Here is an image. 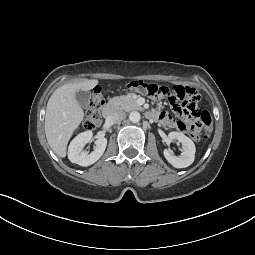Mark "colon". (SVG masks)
<instances>
[{
	"label": "colon",
	"instance_id": "obj_1",
	"mask_svg": "<svg viewBox=\"0 0 255 255\" xmlns=\"http://www.w3.org/2000/svg\"><path fill=\"white\" fill-rule=\"evenodd\" d=\"M128 89L148 95L153 99L169 97L176 106V112L180 115L198 119L204 126V133L191 132L190 135L195 141L208 139L212 133L211 117L207 111L198 107L199 94L197 90L191 87L174 86L168 87L147 83L142 79H135L128 83ZM104 98L100 87H96L89 107L87 108L83 120V126L86 129H95L102 121V109Z\"/></svg>",
	"mask_w": 255,
	"mask_h": 255
}]
</instances>
